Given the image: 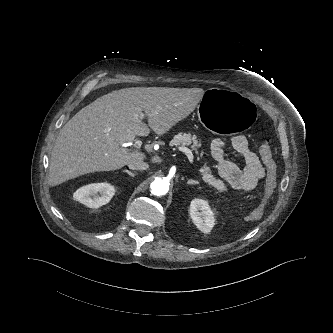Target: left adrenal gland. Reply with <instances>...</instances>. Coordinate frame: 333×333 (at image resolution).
Returning a JSON list of instances; mask_svg holds the SVG:
<instances>
[{"mask_svg":"<svg viewBox=\"0 0 333 333\" xmlns=\"http://www.w3.org/2000/svg\"><path fill=\"white\" fill-rule=\"evenodd\" d=\"M187 184L188 185H196V184H199V182L197 180L190 179V180L187 181Z\"/></svg>","mask_w":333,"mask_h":333,"instance_id":"left-adrenal-gland-1","label":"left adrenal gland"}]
</instances>
